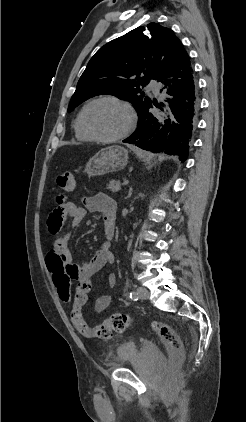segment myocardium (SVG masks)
I'll return each mask as SVG.
<instances>
[{"instance_id": "myocardium-1", "label": "myocardium", "mask_w": 246, "mask_h": 422, "mask_svg": "<svg viewBox=\"0 0 246 422\" xmlns=\"http://www.w3.org/2000/svg\"><path fill=\"white\" fill-rule=\"evenodd\" d=\"M102 101H111V102H115L117 104H119L120 106H122L128 116V123L127 126L125 127V129L120 132L117 135L111 136V137H102L99 135H96L88 126L87 123V112L89 110V108L99 102ZM136 124V115H135V111L133 109V107L131 106V104L129 102H127L126 100L118 97V96H114V95H104V96H100L97 97L91 101H89L82 109L81 111V125L82 128L84 130V132L87 134V136L96 142H100V143H114L117 142L119 140L124 139L125 137H127L132 130L134 129Z\"/></svg>"}]
</instances>
